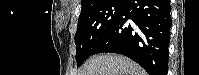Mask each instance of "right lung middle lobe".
Masks as SVG:
<instances>
[{"instance_id": "obj_1", "label": "right lung middle lobe", "mask_w": 199, "mask_h": 75, "mask_svg": "<svg viewBox=\"0 0 199 75\" xmlns=\"http://www.w3.org/2000/svg\"><path fill=\"white\" fill-rule=\"evenodd\" d=\"M127 0H104L81 10L75 34L76 61L81 65L112 30L121 17Z\"/></svg>"}]
</instances>
